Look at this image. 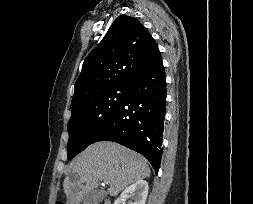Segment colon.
I'll return each instance as SVG.
<instances>
[{
  "instance_id": "obj_1",
  "label": "colon",
  "mask_w": 253,
  "mask_h": 204,
  "mask_svg": "<svg viewBox=\"0 0 253 204\" xmlns=\"http://www.w3.org/2000/svg\"><path fill=\"white\" fill-rule=\"evenodd\" d=\"M55 204H64L62 201H57Z\"/></svg>"
}]
</instances>
